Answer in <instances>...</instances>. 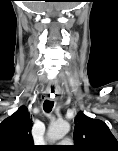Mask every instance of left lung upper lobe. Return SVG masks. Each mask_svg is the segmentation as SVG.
<instances>
[{
  "mask_svg": "<svg viewBox=\"0 0 118 151\" xmlns=\"http://www.w3.org/2000/svg\"><path fill=\"white\" fill-rule=\"evenodd\" d=\"M75 149L78 151H118V142L108 126L79 112L74 128Z\"/></svg>",
  "mask_w": 118,
  "mask_h": 151,
  "instance_id": "obj_1",
  "label": "left lung upper lobe"
}]
</instances>
